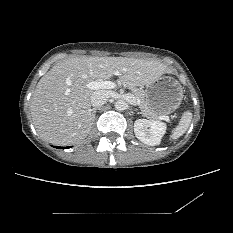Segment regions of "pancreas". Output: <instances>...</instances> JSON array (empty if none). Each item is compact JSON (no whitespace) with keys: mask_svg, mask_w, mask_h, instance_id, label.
<instances>
[{"mask_svg":"<svg viewBox=\"0 0 233 233\" xmlns=\"http://www.w3.org/2000/svg\"><path fill=\"white\" fill-rule=\"evenodd\" d=\"M128 86V85H127ZM132 92L134 93V96L136 99H139V108L141 109L143 115L149 119L156 120L159 118L158 114L152 110L147 102L145 101V95L144 91L140 88H136L135 86H128Z\"/></svg>","mask_w":233,"mask_h":233,"instance_id":"pancreas-1","label":"pancreas"}]
</instances>
